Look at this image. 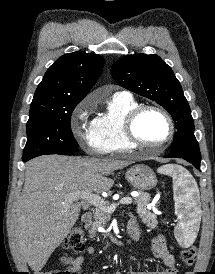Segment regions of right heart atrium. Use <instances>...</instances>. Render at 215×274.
Listing matches in <instances>:
<instances>
[{
    "label": "right heart atrium",
    "instance_id": "1",
    "mask_svg": "<svg viewBox=\"0 0 215 274\" xmlns=\"http://www.w3.org/2000/svg\"><path fill=\"white\" fill-rule=\"evenodd\" d=\"M92 105L84 100L75 108L71 128L79 144L90 154L102 155L107 150L96 133L94 120L90 119Z\"/></svg>",
    "mask_w": 215,
    "mask_h": 274
}]
</instances>
